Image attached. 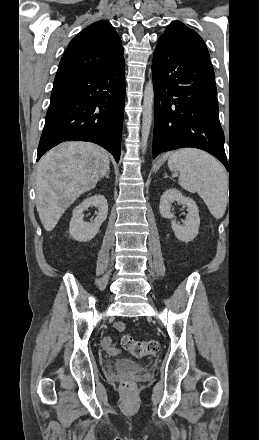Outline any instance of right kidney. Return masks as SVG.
<instances>
[{
  "label": "right kidney",
  "mask_w": 259,
  "mask_h": 440,
  "mask_svg": "<svg viewBox=\"0 0 259 440\" xmlns=\"http://www.w3.org/2000/svg\"><path fill=\"white\" fill-rule=\"evenodd\" d=\"M90 206L98 208V214L93 222L87 223L83 220V212ZM108 215V203L104 196L94 195L85 199L73 210V216L69 224L71 237L80 242L92 240L106 220Z\"/></svg>",
  "instance_id": "1"
}]
</instances>
